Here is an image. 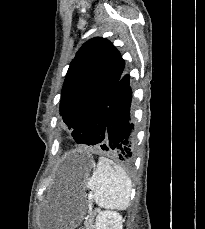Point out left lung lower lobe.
<instances>
[{
  "label": "left lung lower lobe",
  "instance_id": "0a47b994",
  "mask_svg": "<svg viewBox=\"0 0 205 229\" xmlns=\"http://www.w3.org/2000/svg\"><path fill=\"white\" fill-rule=\"evenodd\" d=\"M130 76L122 75L107 104L105 120L101 127L89 130V138L101 149L109 151L120 160L130 162L134 155L135 129L130 114L132 90Z\"/></svg>",
  "mask_w": 205,
  "mask_h": 229
}]
</instances>
